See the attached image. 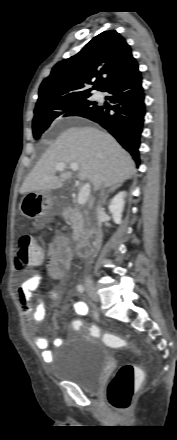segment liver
Listing matches in <instances>:
<instances>
[{"label": "liver", "instance_id": "obj_1", "mask_svg": "<svg viewBox=\"0 0 177 440\" xmlns=\"http://www.w3.org/2000/svg\"><path fill=\"white\" fill-rule=\"evenodd\" d=\"M65 163L79 165L80 180H89L95 191L129 179L135 172L132 157L108 133L93 127H73L62 132L42 155L24 180L20 193L50 191L61 188L72 174L55 175V166Z\"/></svg>", "mask_w": 177, "mask_h": 440}]
</instances>
